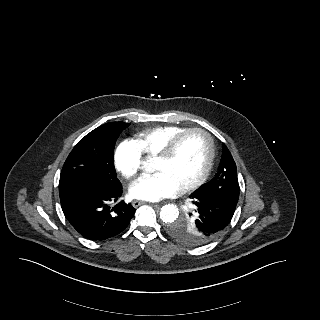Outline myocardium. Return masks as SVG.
<instances>
[{
  "label": "myocardium",
  "mask_w": 320,
  "mask_h": 320,
  "mask_svg": "<svg viewBox=\"0 0 320 320\" xmlns=\"http://www.w3.org/2000/svg\"><path fill=\"white\" fill-rule=\"evenodd\" d=\"M194 133H199L206 138L207 144H208V157H207V161H206V164H205V167H204L202 173L193 181L181 186L179 189L181 192H188L190 190L196 189L197 187L202 185L206 181V179L208 178V176L212 170V167L214 164V159H215V144H214V140H213V137L211 136V134L202 128H198V127L187 128L186 130H184L181 133H179L178 135H176L166 145V147L162 150V152L155 157V161L156 160H158V161L170 160L174 156L181 141L185 137H187L188 135L194 134Z\"/></svg>",
  "instance_id": "myocardium-1"
}]
</instances>
